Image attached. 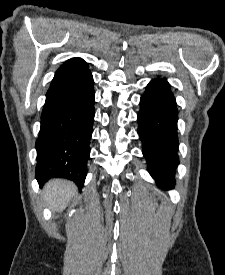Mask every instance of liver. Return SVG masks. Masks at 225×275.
<instances>
[{
  "mask_svg": "<svg viewBox=\"0 0 225 275\" xmlns=\"http://www.w3.org/2000/svg\"><path fill=\"white\" fill-rule=\"evenodd\" d=\"M75 193V185L66 180L49 181L43 191L47 205L54 211H62Z\"/></svg>",
  "mask_w": 225,
  "mask_h": 275,
  "instance_id": "liver-1",
  "label": "liver"
}]
</instances>
